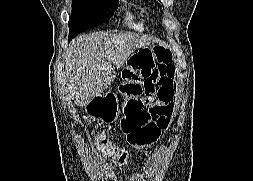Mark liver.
Wrapping results in <instances>:
<instances>
[{
    "label": "liver",
    "mask_w": 253,
    "mask_h": 181,
    "mask_svg": "<svg viewBox=\"0 0 253 181\" xmlns=\"http://www.w3.org/2000/svg\"><path fill=\"white\" fill-rule=\"evenodd\" d=\"M152 40L136 33L95 32L71 41L65 57L66 92L78 106H86L115 80L130 55Z\"/></svg>",
    "instance_id": "6515ba94"
}]
</instances>
